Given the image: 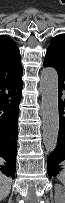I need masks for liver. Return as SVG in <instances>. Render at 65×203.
<instances>
[{
  "mask_svg": "<svg viewBox=\"0 0 65 203\" xmlns=\"http://www.w3.org/2000/svg\"><path fill=\"white\" fill-rule=\"evenodd\" d=\"M11 184H12L11 178L3 174L0 175V199H4L9 195L11 190Z\"/></svg>",
  "mask_w": 65,
  "mask_h": 203,
  "instance_id": "liver-1",
  "label": "liver"
}]
</instances>
